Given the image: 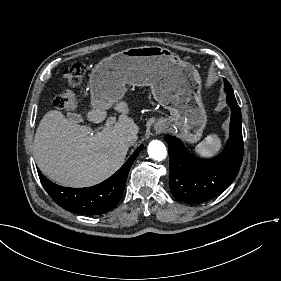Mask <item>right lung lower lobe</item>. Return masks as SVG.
Here are the masks:
<instances>
[{
  "label": "right lung lower lobe",
  "mask_w": 281,
  "mask_h": 281,
  "mask_svg": "<svg viewBox=\"0 0 281 281\" xmlns=\"http://www.w3.org/2000/svg\"><path fill=\"white\" fill-rule=\"evenodd\" d=\"M142 150L138 147L127 162L110 178L87 188H68L54 184L38 171L40 181L50 197L67 211L99 215L110 211L121 199L128 172Z\"/></svg>",
  "instance_id": "1"
}]
</instances>
